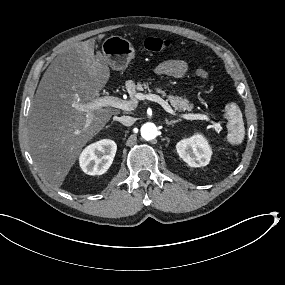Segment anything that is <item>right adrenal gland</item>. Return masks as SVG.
Segmentation results:
<instances>
[{"label": "right adrenal gland", "instance_id": "right-adrenal-gland-1", "mask_svg": "<svg viewBox=\"0 0 285 285\" xmlns=\"http://www.w3.org/2000/svg\"><path fill=\"white\" fill-rule=\"evenodd\" d=\"M110 127H111V125L105 126V130H107V129L110 128Z\"/></svg>", "mask_w": 285, "mask_h": 285}]
</instances>
